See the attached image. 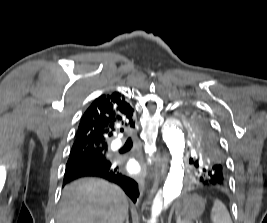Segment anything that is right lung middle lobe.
I'll use <instances>...</instances> for the list:
<instances>
[{
    "label": "right lung middle lobe",
    "mask_w": 267,
    "mask_h": 223,
    "mask_svg": "<svg viewBox=\"0 0 267 223\" xmlns=\"http://www.w3.org/2000/svg\"><path fill=\"white\" fill-rule=\"evenodd\" d=\"M93 160L99 162L109 161L110 159L107 155V150L89 145L80 146L76 149H71L66 169L79 165L83 161Z\"/></svg>",
    "instance_id": "obj_1"
}]
</instances>
